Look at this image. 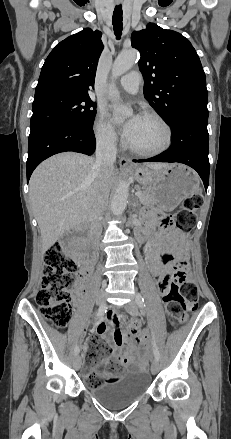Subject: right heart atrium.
I'll use <instances>...</instances> for the list:
<instances>
[{
    "mask_svg": "<svg viewBox=\"0 0 231 439\" xmlns=\"http://www.w3.org/2000/svg\"><path fill=\"white\" fill-rule=\"evenodd\" d=\"M94 134L98 144L106 148H114L118 142L115 128L108 121L105 113L100 111L94 124Z\"/></svg>",
    "mask_w": 231,
    "mask_h": 439,
    "instance_id": "1",
    "label": "right heart atrium"
}]
</instances>
